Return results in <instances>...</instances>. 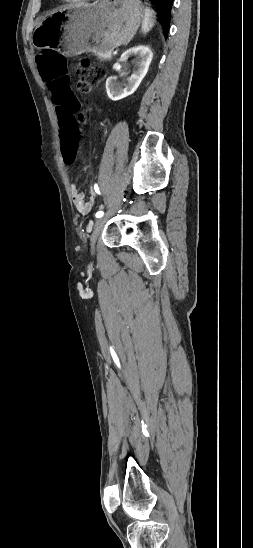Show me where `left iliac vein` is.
Returning <instances> with one entry per match:
<instances>
[{"label": "left iliac vein", "instance_id": "left-iliac-vein-1", "mask_svg": "<svg viewBox=\"0 0 253 548\" xmlns=\"http://www.w3.org/2000/svg\"><path fill=\"white\" fill-rule=\"evenodd\" d=\"M113 212H114V209L112 211H110L107 215H105L103 217H100L95 221L94 227H93V232L90 236V247H91V253L92 254H94V252H95V245H96L97 238H98L104 224L106 223L108 218L113 214Z\"/></svg>", "mask_w": 253, "mask_h": 548}]
</instances>
